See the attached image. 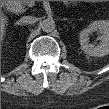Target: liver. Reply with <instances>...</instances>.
<instances>
[{
	"label": "liver",
	"instance_id": "obj_1",
	"mask_svg": "<svg viewBox=\"0 0 109 109\" xmlns=\"http://www.w3.org/2000/svg\"><path fill=\"white\" fill-rule=\"evenodd\" d=\"M4 26H5L4 23H2V30H4Z\"/></svg>",
	"mask_w": 109,
	"mask_h": 109
}]
</instances>
